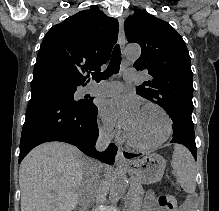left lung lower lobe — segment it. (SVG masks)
I'll use <instances>...</instances> for the list:
<instances>
[{"label":"left lung lower lobe","mask_w":219,"mask_h":211,"mask_svg":"<svg viewBox=\"0 0 219 211\" xmlns=\"http://www.w3.org/2000/svg\"><path fill=\"white\" fill-rule=\"evenodd\" d=\"M171 143H179L186 146L191 151L195 160H197L194 128L179 127L173 129V139L171 140ZM124 155L126 158H133L139 156L140 154H131L125 152Z\"/></svg>","instance_id":"left-lung-lower-lobe-1"}]
</instances>
